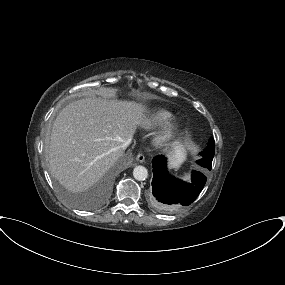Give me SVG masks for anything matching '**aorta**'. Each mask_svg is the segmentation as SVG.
Returning a JSON list of instances; mask_svg holds the SVG:
<instances>
[{
  "instance_id": "aorta-1",
  "label": "aorta",
  "mask_w": 285,
  "mask_h": 285,
  "mask_svg": "<svg viewBox=\"0 0 285 285\" xmlns=\"http://www.w3.org/2000/svg\"><path fill=\"white\" fill-rule=\"evenodd\" d=\"M133 176L138 181H144L148 177V170L144 166H136L133 170Z\"/></svg>"
}]
</instances>
